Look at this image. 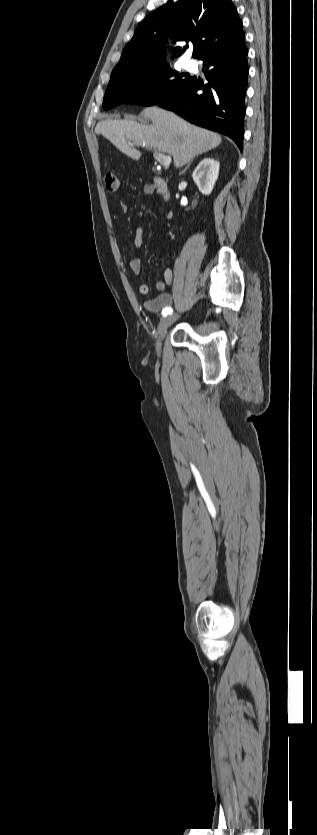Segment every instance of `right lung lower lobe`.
I'll return each instance as SVG.
<instances>
[{"label":"right lung lower lobe","mask_w":317,"mask_h":835,"mask_svg":"<svg viewBox=\"0 0 317 835\" xmlns=\"http://www.w3.org/2000/svg\"><path fill=\"white\" fill-rule=\"evenodd\" d=\"M248 49L245 39L217 46L198 59L206 67L208 84L197 79L156 104L189 122L231 137L242 151L245 94L248 86ZM210 68V69H209ZM203 90L202 94H197Z\"/></svg>","instance_id":"98d812e1"}]
</instances>
